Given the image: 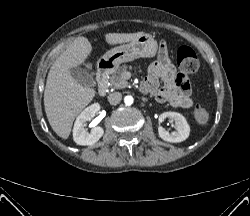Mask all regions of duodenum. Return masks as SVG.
Wrapping results in <instances>:
<instances>
[{"label":"duodenum","mask_w":250,"mask_h":216,"mask_svg":"<svg viewBox=\"0 0 250 216\" xmlns=\"http://www.w3.org/2000/svg\"><path fill=\"white\" fill-rule=\"evenodd\" d=\"M112 69V63L109 61L100 62L97 69V81L99 86V93L104 96L108 92V76Z\"/></svg>","instance_id":"410a0bca"}]
</instances>
